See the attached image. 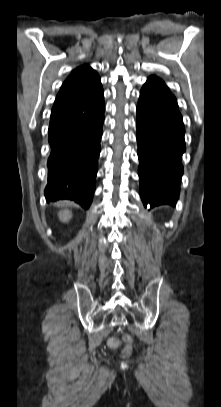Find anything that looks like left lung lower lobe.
<instances>
[{"label":"left lung lower lobe","mask_w":221,"mask_h":407,"mask_svg":"<svg viewBox=\"0 0 221 407\" xmlns=\"http://www.w3.org/2000/svg\"><path fill=\"white\" fill-rule=\"evenodd\" d=\"M136 124L144 206L175 205L183 174L185 129L176 98L156 76L149 77L141 89Z\"/></svg>","instance_id":"1"}]
</instances>
